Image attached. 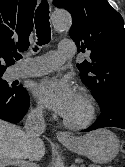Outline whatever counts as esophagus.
I'll return each instance as SVG.
<instances>
[{"instance_id": "esophagus-1", "label": "esophagus", "mask_w": 125, "mask_h": 167, "mask_svg": "<svg viewBox=\"0 0 125 167\" xmlns=\"http://www.w3.org/2000/svg\"><path fill=\"white\" fill-rule=\"evenodd\" d=\"M56 138L58 140H71L72 139V135L67 133V132H64V131H58L56 133Z\"/></svg>"}]
</instances>
